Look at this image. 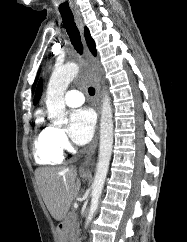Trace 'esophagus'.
Segmentation results:
<instances>
[{"instance_id":"esophagus-1","label":"esophagus","mask_w":187,"mask_h":242,"mask_svg":"<svg viewBox=\"0 0 187 242\" xmlns=\"http://www.w3.org/2000/svg\"><path fill=\"white\" fill-rule=\"evenodd\" d=\"M75 16V20L76 23L80 29V32L83 33V22H82V18L80 16V13L76 12L74 14ZM83 44H84V49H85V56H86V64L89 67L93 78H94V82H95V87H96V98L98 100L99 103V107H98V114H100V100H101V74H100V70H101V66L99 61L90 53V51L88 50L84 40H83ZM98 137H99V130L97 128L95 137L86 153V156L82 162V164L80 165V171L81 172H88L90 170V166H91V162H92V158L93 155L95 153V150L97 148V144H98Z\"/></svg>"}]
</instances>
